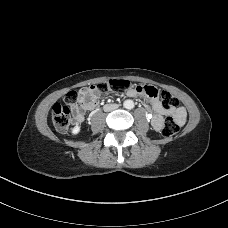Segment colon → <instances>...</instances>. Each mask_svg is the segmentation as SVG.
Masks as SVG:
<instances>
[{"instance_id": "5ec220e1", "label": "colon", "mask_w": 228, "mask_h": 228, "mask_svg": "<svg viewBox=\"0 0 228 228\" xmlns=\"http://www.w3.org/2000/svg\"><path fill=\"white\" fill-rule=\"evenodd\" d=\"M94 86V85H93ZM99 91L106 89H134L138 93L149 98H156L159 96L161 104L164 109L173 110L178 105V99L167 91L159 92L155 87L141 84H133L127 79H112L106 83L95 86ZM79 99V93L72 91L65 96V103H55L52 107V120L54 126L58 131H66L71 121V107L76 104ZM180 130L179 123L169 117L162 129V134L165 137H172Z\"/></svg>"}]
</instances>
